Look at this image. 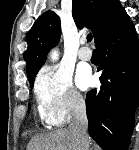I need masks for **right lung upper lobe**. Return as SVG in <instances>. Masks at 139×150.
Returning <instances> with one entry per match:
<instances>
[{
	"label": "right lung upper lobe",
	"instance_id": "right-lung-upper-lobe-1",
	"mask_svg": "<svg viewBox=\"0 0 139 150\" xmlns=\"http://www.w3.org/2000/svg\"><path fill=\"white\" fill-rule=\"evenodd\" d=\"M124 11L119 0H73L72 15L79 27L87 26L94 34L95 44L101 35ZM60 18L54 11L43 13L32 26L28 35L26 51L27 76L29 82L46 60L48 51L60 38Z\"/></svg>",
	"mask_w": 139,
	"mask_h": 150
}]
</instances>
